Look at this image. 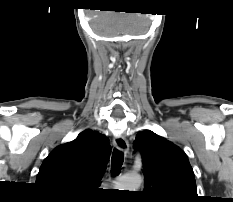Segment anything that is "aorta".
Here are the masks:
<instances>
[{"label":"aorta","instance_id":"obj_1","mask_svg":"<svg viewBox=\"0 0 233 202\" xmlns=\"http://www.w3.org/2000/svg\"><path fill=\"white\" fill-rule=\"evenodd\" d=\"M142 183V178L139 175H125L118 181L120 190L136 191Z\"/></svg>","mask_w":233,"mask_h":202}]
</instances>
